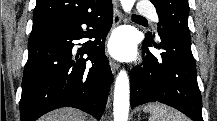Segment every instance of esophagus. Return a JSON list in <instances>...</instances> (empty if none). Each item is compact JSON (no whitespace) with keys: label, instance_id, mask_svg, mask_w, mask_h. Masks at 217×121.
<instances>
[{"label":"esophagus","instance_id":"1","mask_svg":"<svg viewBox=\"0 0 217 121\" xmlns=\"http://www.w3.org/2000/svg\"><path fill=\"white\" fill-rule=\"evenodd\" d=\"M123 20H124V16L122 11L116 6L114 8V14H113V29L119 26L123 22ZM109 64L112 72L116 73V71L119 69L118 63L114 59L109 57Z\"/></svg>","mask_w":217,"mask_h":121}]
</instances>
